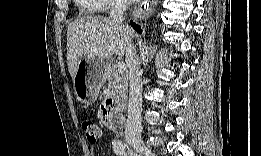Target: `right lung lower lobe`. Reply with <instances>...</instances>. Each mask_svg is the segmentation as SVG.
Returning a JSON list of instances; mask_svg holds the SVG:
<instances>
[{"mask_svg": "<svg viewBox=\"0 0 261 156\" xmlns=\"http://www.w3.org/2000/svg\"><path fill=\"white\" fill-rule=\"evenodd\" d=\"M131 25L133 26V28H134L137 32L141 33V28H140L139 25H136V24L133 23V22H131Z\"/></svg>", "mask_w": 261, "mask_h": 156, "instance_id": "right-lung-lower-lobe-1", "label": "right lung lower lobe"}]
</instances>
